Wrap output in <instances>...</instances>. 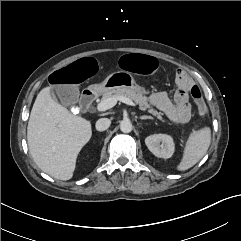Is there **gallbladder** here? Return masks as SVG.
Segmentation results:
<instances>
[{"label": "gallbladder", "mask_w": 241, "mask_h": 241, "mask_svg": "<svg viewBox=\"0 0 241 241\" xmlns=\"http://www.w3.org/2000/svg\"><path fill=\"white\" fill-rule=\"evenodd\" d=\"M69 91H70V97L67 99V101L65 100L63 101L65 105H73L77 103L79 99V90L77 87H70ZM51 95L55 97L53 88H51Z\"/></svg>", "instance_id": "obj_1"}]
</instances>
